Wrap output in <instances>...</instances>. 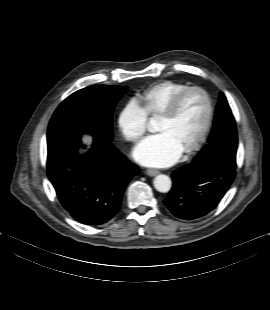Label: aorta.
Instances as JSON below:
<instances>
[{"label": "aorta", "mask_w": 270, "mask_h": 310, "mask_svg": "<svg viewBox=\"0 0 270 310\" xmlns=\"http://www.w3.org/2000/svg\"><path fill=\"white\" fill-rule=\"evenodd\" d=\"M154 187L157 191L161 193H166L171 188V180L167 175L160 174L154 178Z\"/></svg>", "instance_id": "obj_1"}]
</instances>
